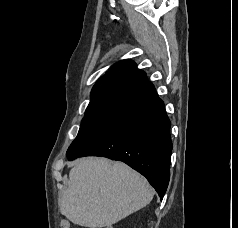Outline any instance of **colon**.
Segmentation results:
<instances>
[{
	"label": "colon",
	"mask_w": 238,
	"mask_h": 228,
	"mask_svg": "<svg viewBox=\"0 0 238 228\" xmlns=\"http://www.w3.org/2000/svg\"><path fill=\"white\" fill-rule=\"evenodd\" d=\"M61 228H69V223L67 221H62ZM106 228H113L112 226H108Z\"/></svg>",
	"instance_id": "1"
}]
</instances>
